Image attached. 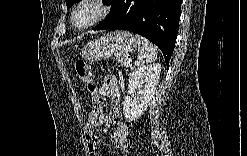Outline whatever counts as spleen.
Wrapping results in <instances>:
<instances>
[{"mask_svg": "<svg viewBox=\"0 0 247 156\" xmlns=\"http://www.w3.org/2000/svg\"><path fill=\"white\" fill-rule=\"evenodd\" d=\"M138 44V61L140 63H150L157 59V48L146 38L136 35Z\"/></svg>", "mask_w": 247, "mask_h": 156, "instance_id": "1", "label": "spleen"}]
</instances>
